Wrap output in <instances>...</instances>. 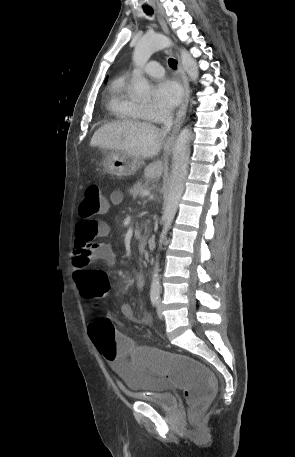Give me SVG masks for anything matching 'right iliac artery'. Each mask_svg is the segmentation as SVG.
Returning a JSON list of instances; mask_svg holds the SVG:
<instances>
[{"label":"right iliac artery","instance_id":"right-iliac-artery-1","mask_svg":"<svg viewBox=\"0 0 295 457\" xmlns=\"http://www.w3.org/2000/svg\"><path fill=\"white\" fill-rule=\"evenodd\" d=\"M150 298H151L152 305L156 306L158 304V301H159V295L158 294H151Z\"/></svg>","mask_w":295,"mask_h":457}]
</instances>
